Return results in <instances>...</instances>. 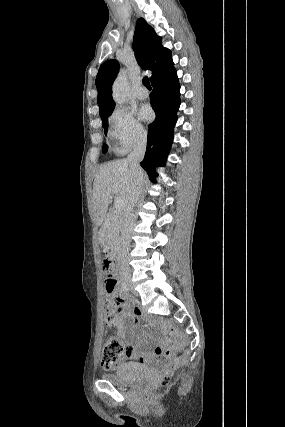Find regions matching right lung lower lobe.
<instances>
[{
	"mask_svg": "<svg viewBox=\"0 0 285 427\" xmlns=\"http://www.w3.org/2000/svg\"><path fill=\"white\" fill-rule=\"evenodd\" d=\"M150 103L156 119L149 124L147 151L140 165L155 180L156 166H163L173 141V128L180 106V85L176 71L162 81L152 84Z\"/></svg>",
	"mask_w": 285,
	"mask_h": 427,
	"instance_id": "1",
	"label": "right lung lower lobe"
}]
</instances>
